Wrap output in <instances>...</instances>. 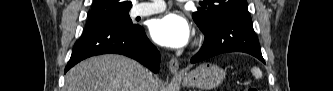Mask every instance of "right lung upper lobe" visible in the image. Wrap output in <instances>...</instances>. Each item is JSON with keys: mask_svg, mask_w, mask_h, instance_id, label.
Masks as SVG:
<instances>
[{"mask_svg": "<svg viewBox=\"0 0 333 91\" xmlns=\"http://www.w3.org/2000/svg\"><path fill=\"white\" fill-rule=\"evenodd\" d=\"M131 7L129 0H94L89 19L120 14L129 11Z\"/></svg>", "mask_w": 333, "mask_h": 91, "instance_id": "right-lung-upper-lobe-1", "label": "right lung upper lobe"}]
</instances>
